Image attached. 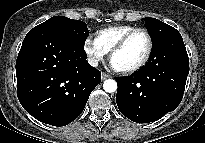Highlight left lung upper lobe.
Instances as JSON below:
<instances>
[{
	"label": "left lung upper lobe",
	"mask_w": 205,
	"mask_h": 143,
	"mask_svg": "<svg viewBox=\"0 0 205 143\" xmlns=\"http://www.w3.org/2000/svg\"><path fill=\"white\" fill-rule=\"evenodd\" d=\"M145 26L148 29V32L151 36L153 46L157 45L166 36L178 32L175 28L171 27L170 25H167L166 23H163L158 19L150 17L145 18ZM150 61L151 58H149L145 67L149 66Z\"/></svg>",
	"instance_id": "left-lung-upper-lobe-1"
}]
</instances>
